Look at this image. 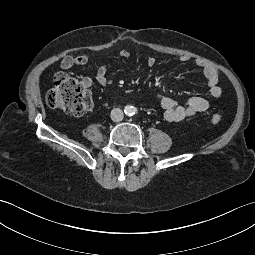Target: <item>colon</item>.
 Returning a JSON list of instances; mask_svg holds the SVG:
<instances>
[{
	"instance_id": "1",
	"label": "colon",
	"mask_w": 255,
	"mask_h": 255,
	"mask_svg": "<svg viewBox=\"0 0 255 255\" xmlns=\"http://www.w3.org/2000/svg\"><path fill=\"white\" fill-rule=\"evenodd\" d=\"M46 102L51 108L73 116H82L93 104L92 96L85 85L62 71L54 75L53 87L46 95ZM210 119L213 124L221 122L218 113H212Z\"/></svg>"
}]
</instances>
